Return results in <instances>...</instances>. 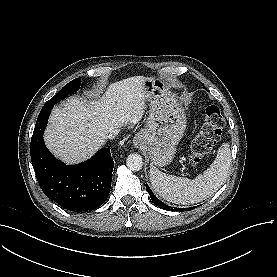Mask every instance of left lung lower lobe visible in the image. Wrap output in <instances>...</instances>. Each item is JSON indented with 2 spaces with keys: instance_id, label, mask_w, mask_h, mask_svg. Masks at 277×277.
I'll list each match as a JSON object with an SVG mask.
<instances>
[{
  "instance_id": "left-lung-lower-lobe-1",
  "label": "left lung lower lobe",
  "mask_w": 277,
  "mask_h": 277,
  "mask_svg": "<svg viewBox=\"0 0 277 277\" xmlns=\"http://www.w3.org/2000/svg\"><path fill=\"white\" fill-rule=\"evenodd\" d=\"M146 190L148 191V193L150 194V197L152 199V201L154 202L155 205H157L158 207L164 209V210H167V211H170V210H173V211H184V210H193L195 207H191V208H173V207H170L166 204H164L162 201H160L153 193L152 191L150 190L149 186L146 184Z\"/></svg>"
}]
</instances>
